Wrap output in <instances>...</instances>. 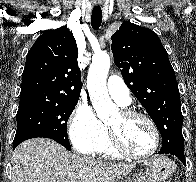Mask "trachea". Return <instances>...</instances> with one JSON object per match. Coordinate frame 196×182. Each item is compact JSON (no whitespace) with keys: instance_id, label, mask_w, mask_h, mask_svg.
Here are the masks:
<instances>
[{"instance_id":"obj_1","label":"trachea","mask_w":196,"mask_h":182,"mask_svg":"<svg viewBox=\"0 0 196 182\" xmlns=\"http://www.w3.org/2000/svg\"><path fill=\"white\" fill-rule=\"evenodd\" d=\"M101 23H102V10L100 7H94L91 16L92 28L95 30L99 29Z\"/></svg>"}]
</instances>
